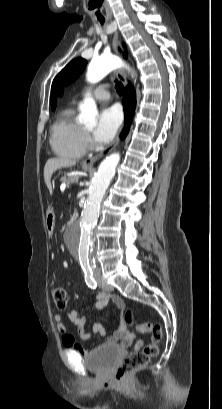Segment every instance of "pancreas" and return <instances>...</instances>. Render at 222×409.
<instances>
[{"mask_svg":"<svg viewBox=\"0 0 222 409\" xmlns=\"http://www.w3.org/2000/svg\"><path fill=\"white\" fill-rule=\"evenodd\" d=\"M79 179L78 175H73V176H68V177H63L61 180L63 183H66L68 186L74 182H77Z\"/></svg>","mask_w":222,"mask_h":409,"instance_id":"obj_1","label":"pancreas"}]
</instances>
